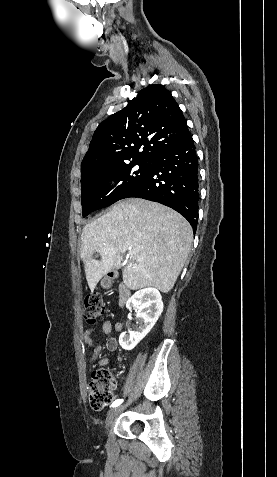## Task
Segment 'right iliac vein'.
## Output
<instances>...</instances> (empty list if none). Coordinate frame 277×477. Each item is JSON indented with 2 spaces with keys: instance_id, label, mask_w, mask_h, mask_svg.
<instances>
[{
  "instance_id": "obj_1",
  "label": "right iliac vein",
  "mask_w": 277,
  "mask_h": 477,
  "mask_svg": "<svg viewBox=\"0 0 277 477\" xmlns=\"http://www.w3.org/2000/svg\"><path fill=\"white\" fill-rule=\"evenodd\" d=\"M121 408L120 407H116V408H113L111 409L108 414H107V417H106V421H105V427L108 428L109 425L111 424L112 420L119 414Z\"/></svg>"
}]
</instances>
